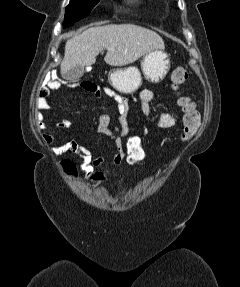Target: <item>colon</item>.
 <instances>
[{
  "instance_id": "colon-1",
  "label": "colon",
  "mask_w": 240,
  "mask_h": 287,
  "mask_svg": "<svg viewBox=\"0 0 240 287\" xmlns=\"http://www.w3.org/2000/svg\"><path fill=\"white\" fill-rule=\"evenodd\" d=\"M188 79V72L183 67H176L171 73V81L174 88H179ZM72 88H82L87 91H91L95 84L90 81H82L79 83L70 84ZM179 104L182 106L183 115V131L182 140L188 141L197 133L200 125V115L194 107V104L186 96L179 97ZM123 151L125 155V163L132 169H140L146 162V151L143 145L142 139L137 135L127 134L123 141ZM64 168L73 172L74 167L71 162H65ZM93 181H100L104 179L102 173H97L91 176Z\"/></svg>"
}]
</instances>
